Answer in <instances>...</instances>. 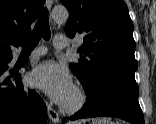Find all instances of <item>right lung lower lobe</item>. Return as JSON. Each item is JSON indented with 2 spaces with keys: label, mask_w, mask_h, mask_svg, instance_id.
I'll use <instances>...</instances> for the list:
<instances>
[{
  "label": "right lung lower lobe",
  "mask_w": 156,
  "mask_h": 124,
  "mask_svg": "<svg viewBox=\"0 0 156 124\" xmlns=\"http://www.w3.org/2000/svg\"><path fill=\"white\" fill-rule=\"evenodd\" d=\"M11 56L0 58V124H46L47 109L40 96L23 87L20 76L4 78Z\"/></svg>",
  "instance_id": "right-lung-lower-lobe-1"
}]
</instances>
